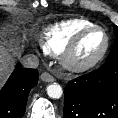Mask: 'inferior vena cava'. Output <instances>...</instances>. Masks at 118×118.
I'll return each mask as SVG.
<instances>
[{
	"mask_svg": "<svg viewBox=\"0 0 118 118\" xmlns=\"http://www.w3.org/2000/svg\"><path fill=\"white\" fill-rule=\"evenodd\" d=\"M21 63L26 68H37L39 65V59L35 54H27L21 58Z\"/></svg>",
	"mask_w": 118,
	"mask_h": 118,
	"instance_id": "obj_1",
	"label": "inferior vena cava"
}]
</instances>
